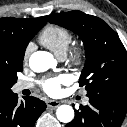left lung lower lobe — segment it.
<instances>
[{
	"instance_id": "0a47b994",
	"label": "left lung lower lobe",
	"mask_w": 127,
	"mask_h": 127,
	"mask_svg": "<svg viewBox=\"0 0 127 127\" xmlns=\"http://www.w3.org/2000/svg\"><path fill=\"white\" fill-rule=\"evenodd\" d=\"M89 105L75 110V118L65 127H120L127 112V95L103 91L87 95Z\"/></svg>"
}]
</instances>
